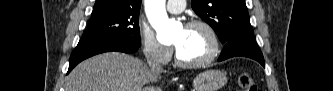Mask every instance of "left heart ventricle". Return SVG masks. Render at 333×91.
I'll list each match as a JSON object with an SVG mask.
<instances>
[{
  "label": "left heart ventricle",
  "mask_w": 333,
  "mask_h": 91,
  "mask_svg": "<svg viewBox=\"0 0 333 91\" xmlns=\"http://www.w3.org/2000/svg\"><path fill=\"white\" fill-rule=\"evenodd\" d=\"M179 55L186 61H198L210 53L211 40L201 27L180 29L174 39Z\"/></svg>",
  "instance_id": "b2bd125f"
}]
</instances>
